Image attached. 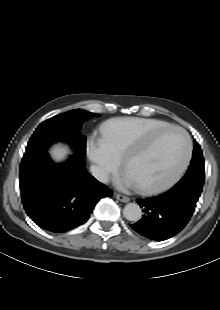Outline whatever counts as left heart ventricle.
Returning a JSON list of instances; mask_svg holds the SVG:
<instances>
[{
  "mask_svg": "<svg viewBox=\"0 0 220 310\" xmlns=\"http://www.w3.org/2000/svg\"><path fill=\"white\" fill-rule=\"evenodd\" d=\"M165 151L160 154V157L156 158L158 159L156 166L165 167L166 169H177L185 153L183 139L180 136H173Z\"/></svg>",
  "mask_w": 220,
  "mask_h": 310,
  "instance_id": "obj_1",
  "label": "left heart ventricle"
}]
</instances>
